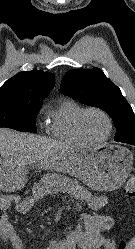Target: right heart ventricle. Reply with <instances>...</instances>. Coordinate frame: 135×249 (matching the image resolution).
<instances>
[{
	"label": "right heart ventricle",
	"mask_w": 135,
	"mask_h": 249,
	"mask_svg": "<svg viewBox=\"0 0 135 249\" xmlns=\"http://www.w3.org/2000/svg\"><path fill=\"white\" fill-rule=\"evenodd\" d=\"M84 108L74 100H65L50 110L46 126L56 140L71 145L87 144L77 129V117Z\"/></svg>",
	"instance_id": "right-heart-ventricle-1"
}]
</instances>
